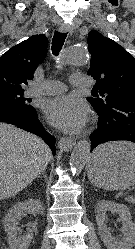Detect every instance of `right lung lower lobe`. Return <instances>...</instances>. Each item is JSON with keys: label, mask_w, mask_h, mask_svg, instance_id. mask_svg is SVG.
<instances>
[{"label": "right lung lower lobe", "mask_w": 135, "mask_h": 249, "mask_svg": "<svg viewBox=\"0 0 135 249\" xmlns=\"http://www.w3.org/2000/svg\"><path fill=\"white\" fill-rule=\"evenodd\" d=\"M0 122L11 123L18 128L43 137L55 155V138L42 128L33 107L25 108L17 103L0 100Z\"/></svg>", "instance_id": "right-lung-lower-lobe-1"}]
</instances>
